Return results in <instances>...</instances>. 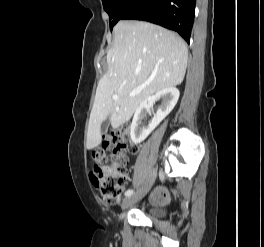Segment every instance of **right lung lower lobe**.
<instances>
[{
    "label": "right lung lower lobe",
    "mask_w": 264,
    "mask_h": 247,
    "mask_svg": "<svg viewBox=\"0 0 264 247\" xmlns=\"http://www.w3.org/2000/svg\"><path fill=\"white\" fill-rule=\"evenodd\" d=\"M196 0H133L121 20L148 21L178 32L189 42Z\"/></svg>",
    "instance_id": "1"
}]
</instances>
